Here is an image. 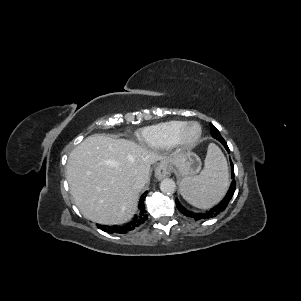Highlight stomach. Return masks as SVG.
I'll list each match as a JSON object with an SVG mask.
<instances>
[{
    "label": "stomach",
    "mask_w": 301,
    "mask_h": 301,
    "mask_svg": "<svg viewBox=\"0 0 301 301\" xmlns=\"http://www.w3.org/2000/svg\"><path fill=\"white\" fill-rule=\"evenodd\" d=\"M166 163L182 177L194 176L201 169L200 158L190 151L181 152L167 160Z\"/></svg>",
    "instance_id": "0dacf381"
}]
</instances>
